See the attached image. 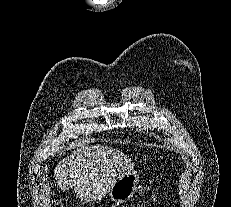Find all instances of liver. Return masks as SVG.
Masks as SVG:
<instances>
[{"instance_id":"obj_1","label":"liver","mask_w":231,"mask_h":207,"mask_svg":"<svg viewBox=\"0 0 231 207\" xmlns=\"http://www.w3.org/2000/svg\"><path fill=\"white\" fill-rule=\"evenodd\" d=\"M134 163L118 150L107 146H81L55 168L57 186L63 191L74 188L84 202L100 200Z\"/></svg>"}]
</instances>
